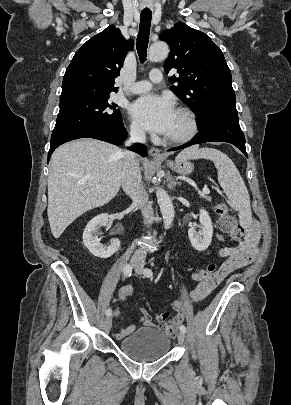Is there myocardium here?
I'll list each match as a JSON object with an SVG mask.
<instances>
[{
	"instance_id": "obj_1",
	"label": "myocardium",
	"mask_w": 291,
	"mask_h": 405,
	"mask_svg": "<svg viewBox=\"0 0 291 405\" xmlns=\"http://www.w3.org/2000/svg\"><path fill=\"white\" fill-rule=\"evenodd\" d=\"M176 111L185 117L187 130L179 136H165L164 141L171 145H182L192 140L198 133V120L194 112L187 107L180 106Z\"/></svg>"
}]
</instances>
